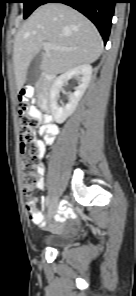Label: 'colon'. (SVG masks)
Here are the masks:
<instances>
[{"label":"colon","mask_w":136,"mask_h":296,"mask_svg":"<svg viewBox=\"0 0 136 296\" xmlns=\"http://www.w3.org/2000/svg\"><path fill=\"white\" fill-rule=\"evenodd\" d=\"M32 89H23L19 101V140H20V171L22 176V191L30 219L37 220L34 212V187L39 179L37 170L38 145L35 131L38 121L33 115L34 108L27 102Z\"/></svg>","instance_id":"obj_1"}]
</instances>
